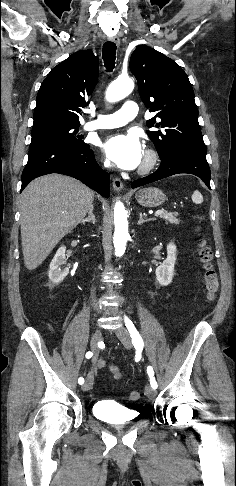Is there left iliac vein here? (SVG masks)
I'll list each match as a JSON object with an SVG mask.
<instances>
[{
	"label": "left iliac vein",
	"instance_id": "1",
	"mask_svg": "<svg viewBox=\"0 0 236 486\" xmlns=\"http://www.w3.org/2000/svg\"><path fill=\"white\" fill-rule=\"evenodd\" d=\"M115 333H116L117 337L119 338V340L121 341V343L127 349H130L132 347V342H131L129 332L124 326H120L119 328H117L115 330ZM156 393H157L156 390L154 388H152L151 386L147 385L145 387V394H146L147 397L153 398V397L156 396Z\"/></svg>",
	"mask_w": 236,
	"mask_h": 486
}]
</instances>
